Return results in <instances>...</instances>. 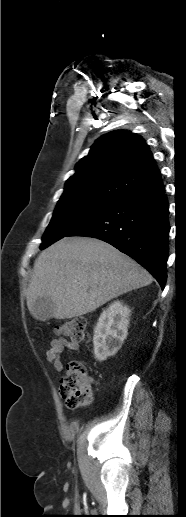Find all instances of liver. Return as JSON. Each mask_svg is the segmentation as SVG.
Instances as JSON below:
<instances>
[{
	"instance_id": "1",
	"label": "liver",
	"mask_w": 186,
	"mask_h": 517,
	"mask_svg": "<svg viewBox=\"0 0 186 517\" xmlns=\"http://www.w3.org/2000/svg\"><path fill=\"white\" fill-rule=\"evenodd\" d=\"M150 273L112 245L94 238H64L35 260L26 299L49 298L50 317L71 319L133 289L151 284Z\"/></svg>"
}]
</instances>
